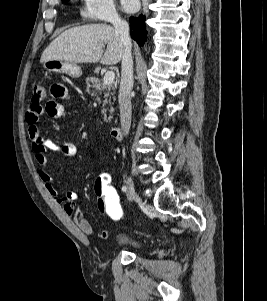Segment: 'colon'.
Here are the masks:
<instances>
[{"label": "colon", "mask_w": 267, "mask_h": 301, "mask_svg": "<svg viewBox=\"0 0 267 301\" xmlns=\"http://www.w3.org/2000/svg\"><path fill=\"white\" fill-rule=\"evenodd\" d=\"M45 97V89L41 85H36L33 89L32 102L39 103ZM94 195L100 204L103 213L113 221H120L124 217V209L118 191L114 187L111 177L100 174L94 182Z\"/></svg>", "instance_id": "obj_1"}]
</instances>
